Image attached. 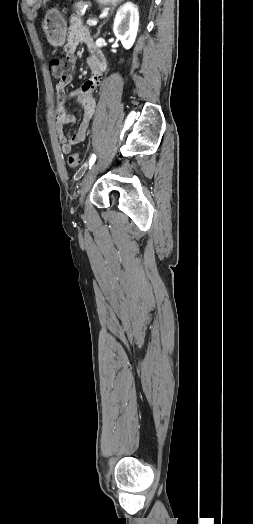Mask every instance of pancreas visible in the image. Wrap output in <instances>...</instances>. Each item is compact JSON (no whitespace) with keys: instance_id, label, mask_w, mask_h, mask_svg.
I'll list each match as a JSON object with an SVG mask.
<instances>
[{"instance_id":"pancreas-1","label":"pancreas","mask_w":253,"mask_h":524,"mask_svg":"<svg viewBox=\"0 0 253 524\" xmlns=\"http://www.w3.org/2000/svg\"><path fill=\"white\" fill-rule=\"evenodd\" d=\"M88 6V4L84 1H80V2H76L74 5H73V13L71 15L72 18H80L81 15H82V10L84 9V7Z\"/></svg>"}]
</instances>
